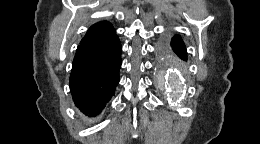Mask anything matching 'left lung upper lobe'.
Returning a JSON list of instances; mask_svg holds the SVG:
<instances>
[{
    "label": "left lung upper lobe",
    "instance_id": "1",
    "mask_svg": "<svg viewBox=\"0 0 260 144\" xmlns=\"http://www.w3.org/2000/svg\"><path fill=\"white\" fill-rule=\"evenodd\" d=\"M161 51L163 52H172V47L168 42H163L161 45Z\"/></svg>",
    "mask_w": 260,
    "mask_h": 144
}]
</instances>
